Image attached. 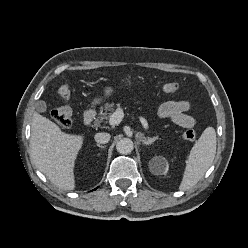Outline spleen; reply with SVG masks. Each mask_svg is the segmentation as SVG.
<instances>
[{"instance_id":"obj_1","label":"spleen","mask_w":248,"mask_h":248,"mask_svg":"<svg viewBox=\"0 0 248 248\" xmlns=\"http://www.w3.org/2000/svg\"><path fill=\"white\" fill-rule=\"evenodd\" d=\"M215 154L216 132L213 127H207L190 151L179 190L186 191L196 185L211 166Z\"/></svg>"}]
</instances>
